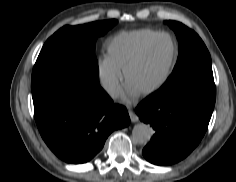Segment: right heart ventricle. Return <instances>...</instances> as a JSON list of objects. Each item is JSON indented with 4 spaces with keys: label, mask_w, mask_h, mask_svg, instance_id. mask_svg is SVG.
Instances as JSON below:
<instances>
[{
    "label": "right heart ventricle",
    "mask_w": 236,
    "mask_h": 182,
    "mask_svg": "<svg viewBox=\"0 0 236 182\" xmlns=\"http://www.w3.org/2000/svg\"><path fill=\"white\" fill-rule=\"evenodd\" d=\"M154 34L152 30L120 33L109 45L107 60L120 70H125Z\"/></svg>",
    "instance_id": "obj_1"
}]
</instances>
